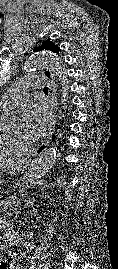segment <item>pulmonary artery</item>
<instances>
[{
    "instance_id": "e3ab8cb5",
    "label": "pulmonary artery",
    "mask_w": 118,
    "mask_h": 269,
    "mask_svg": "<svg viewBox=\"0 0 118 269\" xmlns=\"http://www.w3.org/2000/svg\"><path fill=\"white\" fill-rule=\"evenodd\" d=\"M46 81L42 77H25L15 82L0 98V107L10 109L23 103L29 91L40 88Z\"/></svg>"
}]
</instances>
